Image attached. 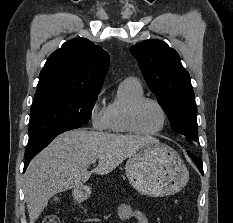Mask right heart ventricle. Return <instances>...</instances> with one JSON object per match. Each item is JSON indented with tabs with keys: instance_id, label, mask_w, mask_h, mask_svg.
Wrapping results in <instances>:
<instances>
[{
	"instance_id": "right-heart-ventricle-1",
	"label": "right heart ventricle",
	"mask_w": 233,
	"mask_h": 223,
	"mask_svg": "<svg viewBox=\"0 0 233 223\" xmlns=\"http://www.w3.org/2000/svg\"><path fill=\"white\" fill-rule=\"evenodd\" d=\"M143 96L144 91L139 81L127 79L120 83L116 97L107 106L108 130L117 134H132L128 127V109Z\"/></svg>"
}]
</instances>
